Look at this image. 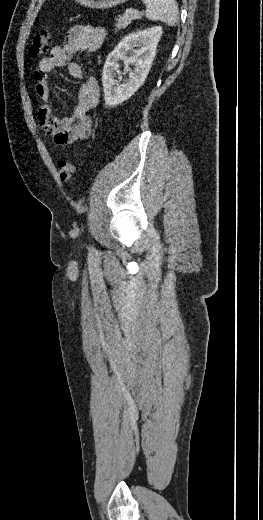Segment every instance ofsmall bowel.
I'll return each mask as SVG.
<instances>
[{
  "mask_svg": "<svg viewBox=\"0 0 263 520\" xmlns=\"http://www.w3.org/2000/svg\"><path fill=\"white\" fill-rule=\"evenodd\" d=\"M105 30L101 27L76 25L67 32L62 45L52 48L50 55L42 58L35 72L36 94L40 100L37 113L39 125L57 146H67L90 137L93 120L89 116L99 101L100 88L94 77L88 78L79 88L78 101L70 116L58 117L50 103L49 74L57 67L67 66L75 79L83 78L81 66L71 61L79 51H97L104 42Z\"/></svg>",
  "mask_w": 263,
  "mask_h": 520,
  "instance_id": "c3829d8e",
  "label": "small bowel"
}]
</instances>
